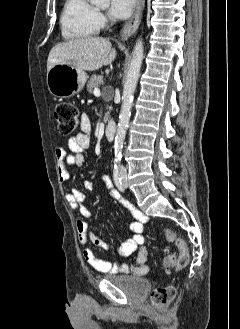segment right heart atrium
I'll use <instances>...</instances> for the list:
<instances>
[{
    "label": "right heart atrium",
    "mask_w": 240,
    "mask_h": 329,
    "mask_svg": "<svg viewBox=\"0 0 240 329\" xmlns=\"http://www.w3.org/2000/svg\"><path fill=\"white\" fill-rule=\"evenodd\" d=\"M108 21L109 20L105 14H103L102 12H98V22L100 27L106 26Z\"/></svg>",
    "instance_id": "1"
}]
</instances>
